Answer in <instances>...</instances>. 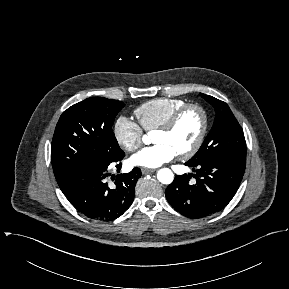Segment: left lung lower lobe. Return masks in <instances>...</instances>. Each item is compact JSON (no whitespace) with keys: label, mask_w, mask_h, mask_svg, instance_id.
<instances>
[{"label":"left lung lower lobe","mask_w":289,"mask_h":289,"mask_svg":"<svg viewBox=\"0 0 289 289\" xmlns=\"http://www.w3.org/2000/svg\"><path fill=\"white\" fill-rule=\"evenodd\" d=\"M185 165L193 167L196 183H189L190 174L176 175L165 195L182 215L202 218L221 211L232 200L243 178L246 157L225 155Z\"/></svg>","instance_id":"1"}]
</instances>
